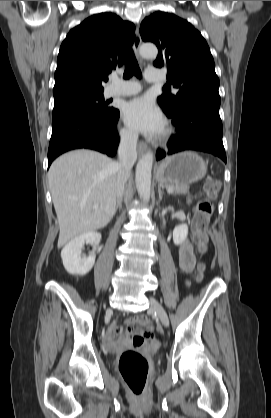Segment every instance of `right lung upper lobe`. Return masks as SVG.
<instances>
[{
    "label": "right lung upper lobe",
    "mask_w": 271,
    "mask_h": 418,
    "mask_svg": "<svg viewBox=\"0 0 271 418\" xmlns=\"http://www.w3.org/2000/svg\"><path fill=\"white\" fill-rule=\"evenodd\" d=\"M134 32L132 23L113 13L93 15L73 28L58 54L54 101L103 93L102 82L124 63Z\"/></svg>",
    "instance_id": "right-lung-upper-lobe-1"
}]
</instances>
